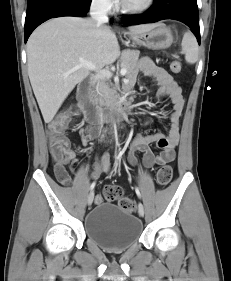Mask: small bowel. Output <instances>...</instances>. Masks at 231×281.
I'll use <instances>...</instances> for the list:
<instances>
[{
	"label": "small bowel",
	"mask_w": 231,
	"mask_h": 281,
	"mask_svg": "<svg viewBox=\"0 0 231 281\" xmlns=\"http://www.w3.org/2000/svg\"><path fill=\"white\" fill-rule=\"evenodd\" d=\"M143 73L151 78L158 86L157 98L167 97L172 103L171 124L168 133L141 134L134 138L128 153V161L131 165H137L136 152L143 154L142 163L147 168L165 165L175 158V148L178 145L180 137V117L182 114L184 99L182 90L178 83L161 67L157 66L150 58H142L139 62L138 69L134 71L126 81V89L133 87L137 81L138 74ZM151 120L146 121L150 125ZM82 146H86L96 136V131L90 127L80 129ZM154 144L160 151L155 154L151 145ZM76 156L70 152L67 164L71 170H75ZM110 170L109 154L105 153L101 160L94 165L91 174L92 179H96L104 171ZM54 173L58 181L63 185L71 183L65 164H55Z\"/></svg>",
	"instance_id": "obj_1"
}]
</instances>
